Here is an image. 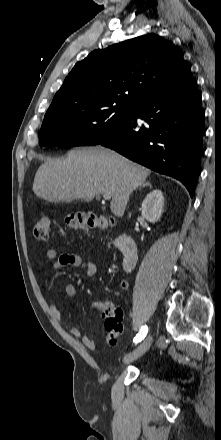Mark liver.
I'll return each instance as SVG.
<instances>
[{"mask_svg":"<svg viewBox=\"0 0 221 440\" xmlns=\"http://www.w3.org/2000/svg\"><path fill=\"white\" fill-rule=\"evenodd\" d=\"M151 171L103 147L73 149L63 160H46L37 170L33 192L48 202L91 201L110 193V209L122 217L133 190Z\"/></svg>","mask_w":221,"mask_h":440,"instance_id":"liver-1","label":"liver"}]
</instances>
